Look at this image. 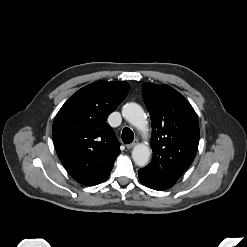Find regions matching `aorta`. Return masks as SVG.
Here are the masks:
<instances>
[{"label":"aorta","instance_id":"obj_1","mask_svg":"<svg viewBox=\"0 0 247 247\" xmlns=\"http://www.w3.org/2000/svg\"><path fill=\"white\" fill-rule=\"evenodd\" d=\"M123 117L140 131L147 130L146 114L143 108L134 102L127 103L122 108ZM151 150L147 145L137 144L132 150V159L136 165L144 167L148 164Z\"/></svg>","mask_w":247,"mask_h":247}]
</instances>
